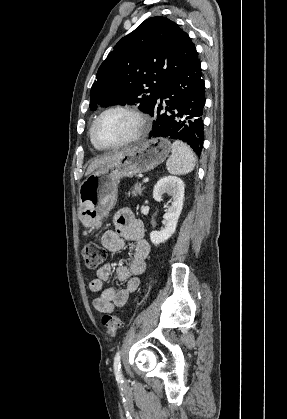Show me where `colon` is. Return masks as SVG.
Wrapping results in <instances>:
<instances>
[{
    "label": "colon",
    "instance_id": "5ec220e1",
    "mask_svg": "<svg viewBox=\"0 0 287 419\" xmlns=\"http://www.w3.org/2000/svg\"><path fill=\"white\" fill-rule=\"evenodd\" d=\"M83 257L88 270L102 267L107 258L106 250L96 242H88L83 247ZM102 324L109 335H115L121 325V319L115 314H105Z\"/></svg>",
    "mask_w": 287,
    "mask_h": 419
}]
</instances>
